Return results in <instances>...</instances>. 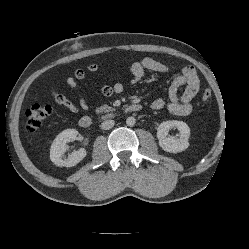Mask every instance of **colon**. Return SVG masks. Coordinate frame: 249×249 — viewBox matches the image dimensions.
Masks as SVG:
<instances>
[{
  "instance_id": "obj_1",
  "label": "colon",
  "mask_w": 249,
  "mask_h": 249,
  "mask_svg": "<svg viewBox=\"0 0 249 249\" xmlns=\"http://www.w3.org/2000/svg\"><path fill=\"white\" fill-rule=\"evenodd\" d=\"M201 98L208 101L211 98V90L204 88L201 90ZM52 107L44 104H35L26 112V128L29 133H35L42 123L52 114Z\"/></svg>"
}]
</instances>
